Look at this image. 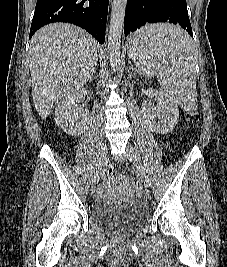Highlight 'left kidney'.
<instances>
[{"instance_id":"obj_1","label":"left kidney","mask_w":227,"mask_h":267,"mask_svg":"<svg viewBox=\"0 0 227 267\" xmlns=\"http://www.w3.org/2000/svg\"><path fill=\"white\" fill-rule=\"evenodd\" d=\"M158 101L157 109L144 104L146 124L155 133L166 134L174 129L179 119L176 101L163 90L155 94ZM146 107V108H145Z\"/></svg>"}]
</instances>
